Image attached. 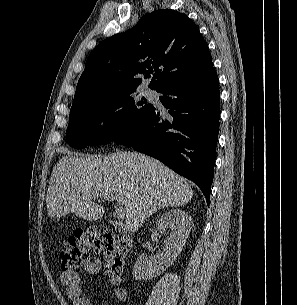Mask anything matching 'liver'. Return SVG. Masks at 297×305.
Wrapping results in <instances>:
<instances>
[{
  "label": "liver",
  "mask_w": 297,
  "mask_h": 305,
  "mask_svg": "<svg viewBox=\"0 0 297 305\" xmlns=\"http://www.w3.org/2000/svg\"><path fill=\"white\" fill-rule=\"evenodd\" d=\"M109 193L125 210V228L136 232L145 220L165 207L183 206L193 191L187 180L158 160L137 152L108 156H63L54 167L46 196L50 218L74 212L99 220L105 208L95 202Z\"/></svg>",
  "instance_id": "obj_1"
}]
</instances>
